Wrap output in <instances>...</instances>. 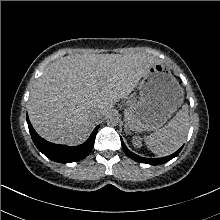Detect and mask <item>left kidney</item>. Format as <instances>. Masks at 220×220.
Instances as JSON below:
<instances>
[{
	"mask_svg": "<svg viewBox=\"0 0 220 220\" xmlns=\"http://www.w3.org/2000/svg\"><path fill=\"white\" fill-rule=\"evenodd\" d=\"M132 143L135 148H140L142 146L141 139L138 136L133 137Z\"/></svg>",
	"mask_w": 220,
	"mask_h": 220,
	"instance_id": "1",
	"label": "left kidney"
}]
</instances>
